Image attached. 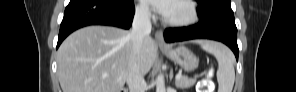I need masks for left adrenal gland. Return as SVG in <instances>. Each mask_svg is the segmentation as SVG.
<instances>
[{
    "label": "left adrenal gland",
    "instance_id": "left-adrenal-gland-1",
    "mask_svg": "<svg viewBox=\"0 0 296 92\" xmlns=\"http://www.w3.org/2000/svg\"><path fill=\"white\" fill-rule=\"evenodd\" d=\"M170 80H172V75L170 76Z\"/></svg>",
    "mask_w": 296,
    "mask_h": 92
}]
</instances>
